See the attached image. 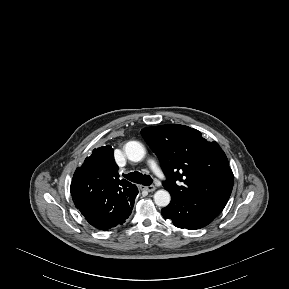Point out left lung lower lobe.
Wrapping results in <instances>:
<instances>
[{"instance_id":"obj_1","label":"left lung lower lobe","mask_w":289,"mask_h":289,"mask_svg":"<svg viewBox=\"0 0 289 289\" xmlns=\"http://www.w3.org/2000/svg\"><path fill=\"white\" fill-rule=\"evenodd\" d=\"M221 211L191 197L171 195L170 204L161 210L164 218L171 219L178 228L200 229L211 223Z\"/></svg>"}]
</instances>
